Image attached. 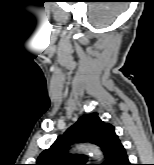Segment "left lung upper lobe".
Here are the masks:
<instances>
[{"label":"left lung upper lobe","mask_w":154,"mask_h":165,"mask_svg":"<svg viewBox=\"0 0 154 165\" xmlns=\"http://www.w3.org/2000/svg\"><path fill=\"white\" fill-rule=\"evenodd\" d=\"M75 142H90L100 146L106 160L98 165H113L123 147L114 127L103 122L97 113H92L80 117L64 135L58 137L49 149L40 154L35 165H87L85 156L67 152L69 146Z\"/></svg>","instance_id":"1"}]
</instances>
